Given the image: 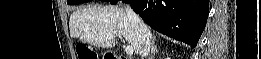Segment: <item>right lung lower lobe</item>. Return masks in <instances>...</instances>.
I'll return each instance as SVG.
<instances>
[{"mask_svg":"<svg viewBox=\"0 0 261 59\" xmlns=\"http://www.w3.org/2000/svg\"><path fill=\"white\" fill-rule=\"evenodd\" d=\"M153 29L195 47L205 28L209 0H124ZM112 0L111 4H116Z\"/></svg>","mask_w":261,"mask_h":59,"instance_id":"98d812e1","label":"right lung lower lobe"}]
</instances>
